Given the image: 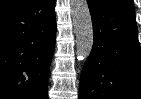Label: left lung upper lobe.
<instances>
[{"mask_svg": "<svg viewBox=\"0 0 141 99\" xmlns=\"http://www.w3.org/2000/svg\"><path fill=\"white\" fill-rule=\"evenodd\" d=\"M118 1H131V0H118ZM132 2V1H131Z\"/></svg>", "mask_w": 141, "mask_h": 99, "instance_id": "1", "label": "left lung upper lobe"}]
</instances>
